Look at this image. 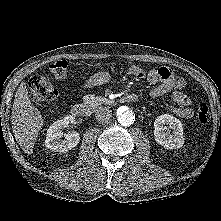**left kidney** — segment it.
<instances>
[{
  "instance_id": "obj_1",
  "label": "left kidney",
  "mask_w": 221,
  "mask_h": 221,
  "mask_svg": "<svg viewBox=\"0 0 221 221\" xmlns=\"http://www.w3.org/2000/svg\"><path fill=\"white\" fill-rule=\"evenodd\" d=\"M154 127L155 141L164 148L171 150L183 146V125L176 117L169 114H162L156 118ZM169 129L172 130L171 134Z\"/></svg>"
}]
</instances>
